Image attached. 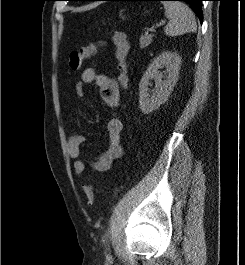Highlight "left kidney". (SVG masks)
I'll return each mask as SVG.
<instances>
[{"mask_svg":"<svg viewBox=\"0 0 245 265\" xmlns=\"http://www.w3.org/2000/svg\"><path fill=\"white\" fill-rule=\"evenodd\" d=\"M181 57L170 51L153 59L139 83V105L142 113L149 114L159 108L171 94L179 75ZM166 68L164 75L159 69ZM164 78V80H162ZM154 79L155 89L149 95V81Z\"/></svg>","mask_w":245,"mask_h":265,"instance_id":"1","label":"left kidney"}]
</instances>
